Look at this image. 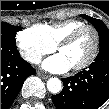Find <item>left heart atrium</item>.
<instances>
[{
	"mask_svg": "<svg viewBox=\"0 0 109 109\" xmlns=\"http://www.w3.org/2000/svg\"><path fill=\"white\" fill-rule=\"evenodd\" d=\"M42 67L52 73H63L71 68L70 64L61 53L46 59Z\"/></svg>",
	"mask_w": 109,
	"mask_h": 109,
	"instance_id": "1",
	"label": "left heart atrium"
}]
</instances>
